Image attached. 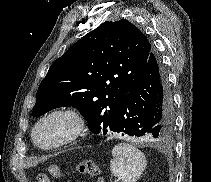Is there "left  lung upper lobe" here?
<instances>
[{
	"label": "left lung upper lobe",
	"instance_id": "obj_1",
	"mask_svg": "<svg viewBox=\"0 0 211 182\" xmlns=\"http://www.w3.org/2000/svg\"><path fill=\"white\" fill-rule=\"evenodd\" d=\"M151 52L147 37L129 21L102 23L51 65L38 88L32 115L72 106L91 132L113 131L118 109Z\"/></svg>",
	"mask_w": 211,
	"mask_h": 182
}]
</instances>
